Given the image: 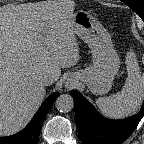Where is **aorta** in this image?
Instances as JSON below:
<instances>
[{"instance_id":"762f6f07","label":"aorta","mask_w":144,"mask_h":144,"mask_svg":"<svg viewBox=\"0 0 144 144\" xmlns=\"http://www.w3.org/2000/svg\"><path fill=\"white\" fill-rule=\"evenodd\" d=\"M56 109L62 113L70 112L74 106V101L71 95L62 94L55 101Z\"/></svg>"}]
</instances>
